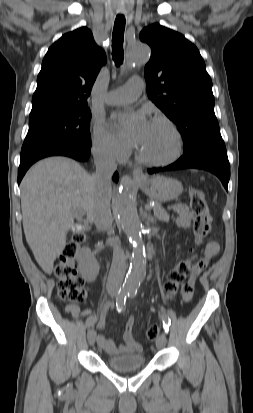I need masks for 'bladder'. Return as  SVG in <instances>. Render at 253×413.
Returning <instances> with one entry per match:
<instances>
[{"mask_svg":"<svg viewBox=\"0 0 253 413\" xmlns=\"http://www.w3.org/2000/svg\"><path fill=\"white\" fill-rule=\"evenodd\" d=\"M107 363L116 371H132L142 368L146 364V358L141 352L122 354L108 357Z\"/></svg>","mask_w":253,"mask_h":413,"instance_id":"obj_1","label":"bladder"}]
</instances>
